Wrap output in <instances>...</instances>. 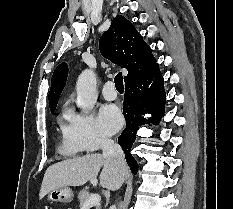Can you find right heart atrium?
<instances>
[{"label": "right heart atrium", "instance_id": "right-heart-atrium-1", "mask_svg": "<svg viewBox=\"0 0 233 209\" xmlns=\"http://www.w3.org/2000/svg\"><path fill=\"white\" fill-rule=\"evenodd\" d=\"M66 140L83 151H96L111 143V139L97 126L91 114L68 113L64 129Z\"/></svg>", "mask_w": 233, "mask_h": 209}]
</instances>
